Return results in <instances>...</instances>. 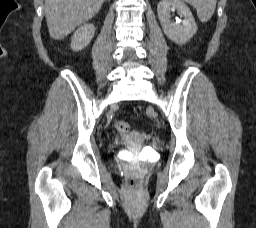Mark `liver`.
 <instances>
[{"label": "liver", "instance_id": "1", "mask_svg": "<svg viewBox=\"0 0 256 228\" xmlns=\"http://www.w3.org/2000/svg\"><path fill=\"white\" fill-rule=\"evenodd\" d=\"M105 0H45L50 36L61 40L99 12Z\"/></svg>", "mask_w": 256, "mask_h": 228}]
</instances>
